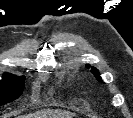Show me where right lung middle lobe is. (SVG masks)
Listing matches in <instances>:
<instances>
[{
  "label": "right lung middle lobe",
  "mask_w": 133,
  "mask_h": 118,
  "mask_svg": "<svg viewBox=\"0 0 133 118\" xmlns=\"http://www.w3.org/2000/svg\"><path fill=\"white\" fill-rule=\"evenodd\" d=\"M25 77L6 73L0 81V105L9 103L21 96Z\"/></svg>",
  "instance_id": "dd1d6c3e"
}]
</instances>
